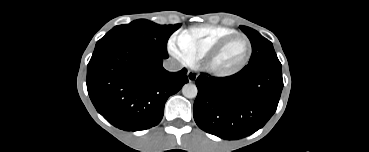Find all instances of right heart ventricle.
I'll use <instances>...</instances> for the list:
<instances>
[{"label": "right heart ventricle", "instance_id": "e07e8e85", "mask_svg": "<svg viewBox=\"0 0 369 152\" xmlns=\"http://www.w3.org/2000/svg\"><path fill=\"white\" fill-rule=\"evenodd\" d=\"M234 33L237 32L232 28L204 24L181 31L177 39L179 44L190 54L191 64H195L219 40Z\"/></svg>", "mask_w": 369, "mask_h": 152}]
</instances>
